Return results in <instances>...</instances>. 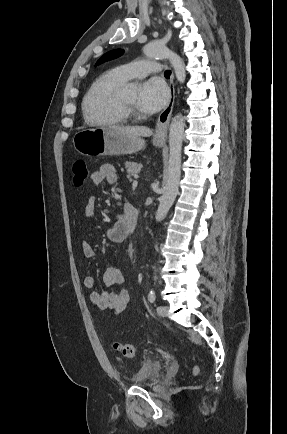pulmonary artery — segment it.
<instances>
[{
  "label": "pulmonary artery",
  "mask_w": 287,
  "mask_h": 434,
  "mask_svg": "<svg viewBox=\"0 0 287 434\" xmlns=\"http://www.w3.org/2000/svg\"><path fill=\"white\" fill-rule=\"evenodd\" d=\"M118 71L125 80L142 78L148 74L159 73L161 65L154 61L138 60L119 66Z\"/></svg>",
  "instance_id": "obj_1"
}]
</instances>
